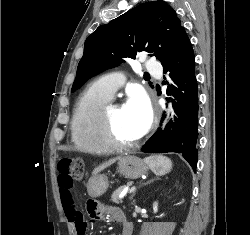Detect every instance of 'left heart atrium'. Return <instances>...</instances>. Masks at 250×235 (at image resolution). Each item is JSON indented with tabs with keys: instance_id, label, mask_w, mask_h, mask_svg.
Returning <instances> with one entry per match:
<instances>
[{
	"instance_id": "39dd6f15",
	"label": "left heart atrium",
	"mask_w": 250,
	"mask_h": 235,
	"mask_svg": "<svg viewBox=\"0 0 250 235\" xmlns=\"http://www.w3.org/2000/svg\"><path fill=\"white\" fill-rule=\"evenodd\" d=\"M124 107L133 117L135 126L142 136L152 121V109L147 96L143 92H133Z\"/></svg>"
}]
</instances>
